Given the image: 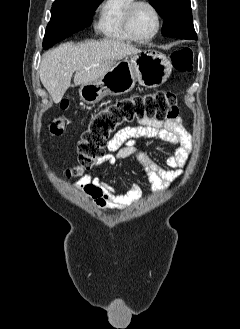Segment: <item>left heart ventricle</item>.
Returning <instances> with one entry per match:
<instances>
[{
    "label": "left heart ventricle",
    "instance_id": "1",
    "mask_svg": "<svg viewBox=\"0 0 240 329\" xmlns=\"http://www.w3.org/2000/svg\"><path fill=\"white\" fill-rule=\"evenodd\" d=\"M156 28V19L152 11L146 6L138 7L132 18V29L139 37L150 36Z\"/></svg>",
    "mask_w": 240,
    "mask_h": 329
}]
</instances>
